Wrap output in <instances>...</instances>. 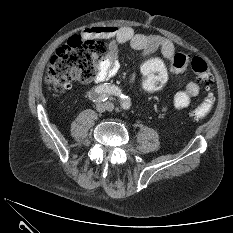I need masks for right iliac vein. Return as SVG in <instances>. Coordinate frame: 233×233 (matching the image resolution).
Segmentation results:
<instances>
[{"mask_svg":"<svg viewBox=\"0 0 233 233\" xmlns=\"http://www.w3.org/2000/svg\"><path fill=\"white\" fill-rule=\"evenodd\" d=\"M96 110H97L99 113L105 112L106 110H108V105H107V103H101V102H99V103L96 105Z\"/></svg>","mask_w":233,"mask_h":233,"instance_id":"63e3f726","label":"right iliac vein"}]
</instances>
